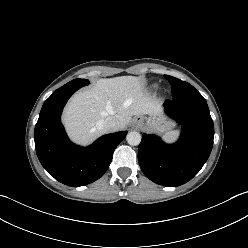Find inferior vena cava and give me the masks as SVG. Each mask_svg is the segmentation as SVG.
I'll return each mask as SVG.
<instances>
[{"instance_id": "1", "label": "inferior vena cava", "mask_w": 248, "mask_h": 248, "mask_svg": "<svg viewBox=\"0 0 248 248\" xmlns=\"http://www.w3.org/2000/svg\"><path fill=\"white\" fill-rule=\"evenodd\" d=\"M97 126L105 132H114L119 128V121L115 117H107L97 122Z\"/></svg>"}]
</instances>
